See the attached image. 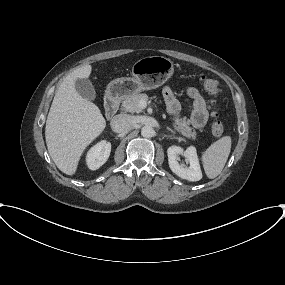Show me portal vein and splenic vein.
Segmentation results:
<instances>
[{"mask_svg": "<svg viewBox=\"0 0 285 285\" xmlns=\"http://www.w3.org/2000/svg\"><path fill=\"white\" fill-rule=\"evenodd\" d=\"M139 107H141L142 109L146 108L147 107V102L145 100H141L139 102Z\"/></svg>", "mask_w": 285, "mask_h": 285, "instance_id": "18ae733b", "label": "portal vein and splenic vein"}]
</instances>
